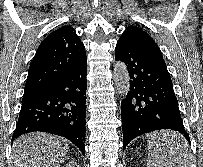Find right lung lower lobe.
<instances>
[{"label":"right lung lower lobe","mask_w":203,"mask_h":167,"mask_svg":"<svg viewBox=\"0 0 203 167\" xmlns=\"http://www.w3.org/2000/svg\"><path fill=\"white\" fill-rule=\"evenodd\" d=\"M86 75L85 57L46 90L23 96L12 141L43 131L69 139L85 155Z\"/></svg>","instance_id":"1"}]
</instances>
